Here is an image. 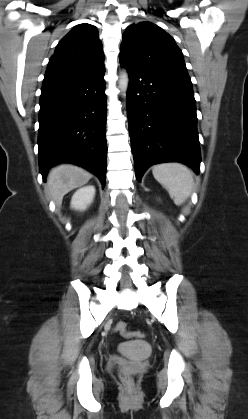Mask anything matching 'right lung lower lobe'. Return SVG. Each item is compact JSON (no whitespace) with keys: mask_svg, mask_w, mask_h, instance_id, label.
Instances as JSON below:
<instances>
[{"mask_svg":"<svg viewBox=\"0 0 248 419\" xmlns=\"http://www.w3.org/2000/svg\"><path fill=\"white\" fill-rule=\"evenodd\" d=\"M105 69L73 81L43 85L39 112V166L70 162L106 177Z\"/></svg>","mask_w":248,"mask_h":419,"instance_id":"98d812e1","label":"right lung lower lobe"}]
</instances>
